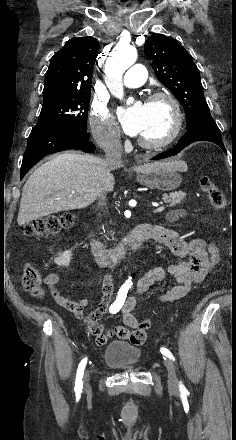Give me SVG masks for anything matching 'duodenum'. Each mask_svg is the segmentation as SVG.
I'll list each match as a JSON object with an SVG mask.
<instances>
[{"mask_svg":"<svg viewBox=\"0 0 236 440\" xmlns=\"http://www.w3.org/2000/svg\"><path fill=\"white\" fill-rule=\"evenodd\" d=\"M154 226L141 224L136 226L127 237L126 241L115 249H107L93 233H88L86 242L96 263L101 267L113 268L123 261L127 255L137 249L145 240L152 238Z\"/></svg>","mask_w":236,"mask_h":440,"instance_id":"duodenum-1","label":"duodenum"}]
</instances>
